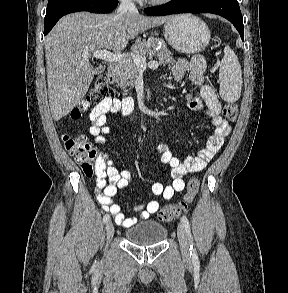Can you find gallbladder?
Returning a JSON list of instances; mask_svg holds the SVG:
<instances>
[{
    "label": "gallbladder",
    "instance_id": "bac80fb5",
    "mask_svg": "<svg viewBox=\"0 0 288 293\" xmlns=\"http://www.w3.org/2000/svg\"><path fill=\"white\" fill-rule=\"evenodd\" d=\"M95 71H96V74H100V73H102L104 71V67H97L95 69Z\"/></svg>",
    "mask_w": 288,
    "mask_h": 293
}]
</instances>
